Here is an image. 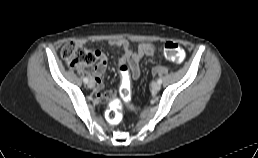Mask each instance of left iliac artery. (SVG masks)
I'll use <instances>...</instances> for the list:
<instances>
[{
  "label": "left iliac artery",
  "instance_id": "obj_1",
  "mask_svg": "<svg viewBox=\"0 0 258 158\" xmlns=\"http://www.w3.org/2000/svg\"><path fill=\"white\" fill-rule=\"evenodd\" d=\"M157 82H158L159 84H161V83H162V79L159 78V79L157 80Z\"/></svg>",
  "mask_w": 258,
  "mask_h": 158
}]
</instances>
